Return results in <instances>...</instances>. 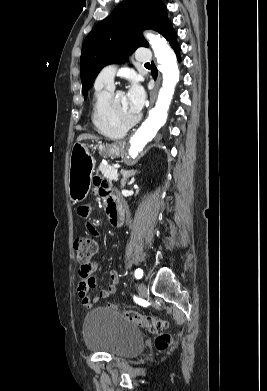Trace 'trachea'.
Returning <instances> with one entry per match:
<instances>
[{
  "label": "trachea",
  "instance_id": "trachea-1",
  "mask_svg": "<svg viewBox=\"0 0 267 391\" xmlns=\"http://www.w3.org/2000/svg\"><path fill=\"white\" fill-rule=\"evenodd\" d=\"M145 66H150V63H145Z\"/></svg>",
  "mask_w": 267,
  "mask_h": 391
}]
</instances>
